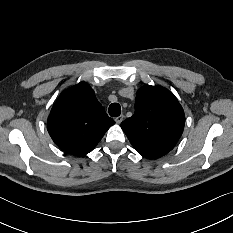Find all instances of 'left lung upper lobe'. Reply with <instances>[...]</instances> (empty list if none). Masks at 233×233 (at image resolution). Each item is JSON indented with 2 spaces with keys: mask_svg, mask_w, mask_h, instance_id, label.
<instances>
[{
  "mask_svg": "<svg viewBox=\"0 0 233 233\" xmlns=\"http://www.w3.org/2000/svg\"><path fill=\"white\" fill-rule=\"evenodd\" d=\"M184 124V111L176 97L164 87L145 85L137 91L135 114L121 127L136 151L154 159L174 148Z\"/></svg>",
  "mask_w": 233,
  "mask_h": 233,
  "instance_id": "left-lung-upper-lobe-1",
  "label": "left lung upper lobe"
}]
</instances>
